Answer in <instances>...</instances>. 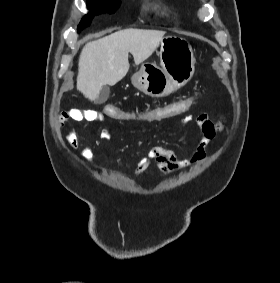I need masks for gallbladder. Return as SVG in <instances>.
<instances>
[{"label": "gallbladder", "mask_w": 280, "mask_h": 283, "mask_svg": "<svg viewBox=\"0 0 280 283\" xmlns=\"http://www.w3.org/2000/svg\"><path fill=\"white\" fill-rule=\"evenodd\" d=\"M109 94H110L109 87L104 85L100 90V93L96 99V103L98 104L104 103L108 99Z\"/></svg>", "instance_id": "1"}]
</instances>
